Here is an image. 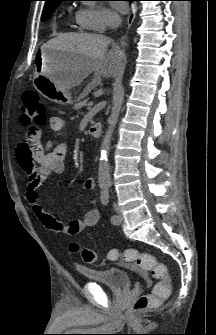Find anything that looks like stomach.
Returning <instances> with one entry per match:
<instances>
[{"label": "stomach", "instance_id": "1", "mask_svg": "<svg viewBox=\"0 0 216 335\" xmlns=\"http://www.w3.org/2000/svg\"><path fill=\"white\" fill-rule=\"evenodd\" d=\"M72 57L71 53L48 48L41 49L36 56V65L40 72L34 77V85L45 98L60 105H71L74 101L70 91L62 89L52 76L64 72Z\"/></svg>", "mask_w": 216, "mask_h": 335}]
</instances>
